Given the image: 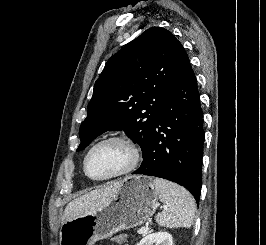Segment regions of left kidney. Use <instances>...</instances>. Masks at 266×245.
<instances>
[{
  "label": "left kidney",
  "mask_w": 266,
  "mask_h": 245,
  "mask_svg": "<svg viewBox=\"0 0 266 245\" xmlns=\"http://www.w3.org/2000/svg\"><path fill=\"white\" fill-rule=\"evenodd\" d=\"M138 245H174V243L169 233H151L143 237Z\"/></svg>",
  "instance_id": "left-kidney-1"
}]
</instances>
